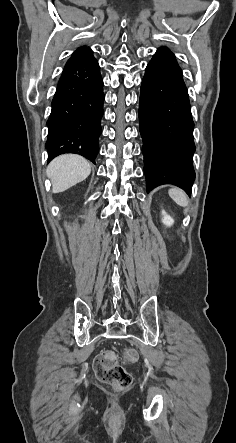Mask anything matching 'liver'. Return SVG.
<instances>
[{
  "label": "liver",
  "instance_id": "1",
  "mask_svg": "<svg viewBox=\"0 0 236 443\" xmlns=\"http://www.w3.org/2000/svg\"><path fill=\"white\" fill-rule=\"evenodd\" d=\"M91 172L90 163L82 156L65 154L58 156L47 167L52 182V192L60 193L85 180Z\"/></svg>",
  "mask_w": 236,
  "mask_h": 443
}]
</instances>
